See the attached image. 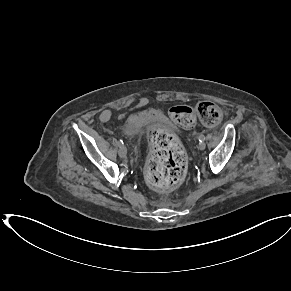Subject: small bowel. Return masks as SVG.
<instances>
[{"label": "small bowel", "mask_w": 291, "mask_h": 291, "mask_svg": "<svg viewBox=\"0 0 291 291\" xmlns=\"http://www.w3.org/2000/svg\"><path fill=\"white\" fill-rule=\"evenodd\" d=\"M112 118H113V114L110 111H108V110H105V111L101 112V114L99 116V119L102 122L109 121Z\"/></svg>", "instance_id": "small-bowel-1"}]
</instances>
